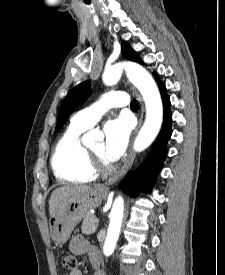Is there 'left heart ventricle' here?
<instances>
[{
    "label": "left heart ventricle",
    "mask_w": 225,
    "mask_h": 275,
    "mask_svg": "<svg viewBox=\"0 0 225 275\" xmlns=\"http://www.w3.org/2000/svg\"><path fill=\"white\" fill-rule=\"evenodd\" d=\"M90 150L95 153L96 155H98L103 161H105L106 163H110L108 162L105 158H104V143L103 141H99L97 142L95 145H93Z\"/></svg>",
    "instance_id": "b2bd125f"
}]
</instances>
